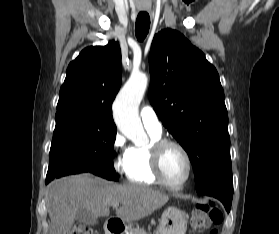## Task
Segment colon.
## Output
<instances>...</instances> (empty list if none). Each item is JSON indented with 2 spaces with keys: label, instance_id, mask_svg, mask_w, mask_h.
<instances>
[{
  "label": "colon",
  "instance_id": "5ec220e1",
  "mask_svg": "<svg viewBox=\"0 0 279 234\" xmlns=\"http://www.w3.org/2000/svg\"><path fill=\"white\" fill-rule=\"evenodd\" d=\"M223 220V214L215 203L198 204L190 218V228L193 232H200L212 225H218ZM66 234H92L89 227L77 225ZM210 234H219L217 228H213Z\"/></svg>",
  "mask_w": 279,
  "mask_h": 234
}]
</instances>
